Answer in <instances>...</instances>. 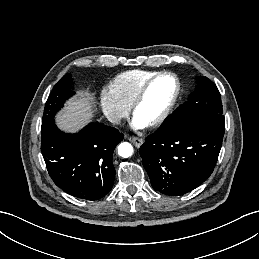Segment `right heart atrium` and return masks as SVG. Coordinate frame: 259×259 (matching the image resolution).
Returning a JSON list of instances; mask_svg holds the SVG:
<instances>
[{
	"label": "right heart atrium",
	"instance_id": "1",
	"mask_svg": "<svg viewBox=\"0 0 259 259\" xmlns=\"http://www.w3.org/2000/svg\"><path fill=\"white\" fill-rule=\"evenodd\" d=\"M100 104L105 116L114 124H119L128 117L130 112V107L124 104L109 88L102 89Z\"/></svg>",
	"mask_w": 259,
	"mask_h": 259
}]
</instances>
